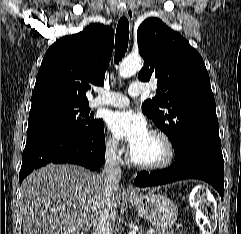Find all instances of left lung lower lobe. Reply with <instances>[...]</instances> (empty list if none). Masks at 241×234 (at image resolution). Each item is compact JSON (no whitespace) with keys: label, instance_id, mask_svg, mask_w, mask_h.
Wrapping results in <instances>:
<instances>
[{"label":"left lung lower lobe","instance_id":"obj_1","mask_svg":"<svg viewBox=\"0 0 241 234\" xmlns=\"http://www.w3.org/2000/svg\"><path fill=\"white\" fill-rule=\"evenodd\" d=\"M175 162L165 170L140 172L134 184L139 187L158 186L183 179H201L211 184L223 199L224 161L221 142L195 140L177 151Z\"/></svg>","mask_w":241,"mask_h":234}]
</instances>
